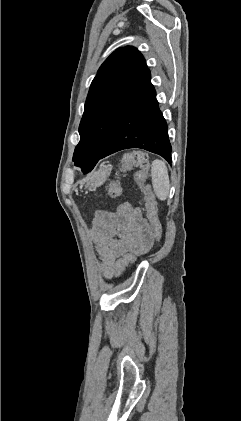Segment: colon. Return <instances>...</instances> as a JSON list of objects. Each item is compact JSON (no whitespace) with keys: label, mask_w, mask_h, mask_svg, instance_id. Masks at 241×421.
<instances>
[{"label":"colon","mask_w":241,"mask_h":421,"mask_svg":"<svg viewBox=\"0 0 241 421\" xmlns=\"http://www.w3.org/2000/svg\"><path fill=\"white\" fill-rule=\"evenodd\" d=\"M132 168H138L135 173V180L142 188L144 193V201L147 217L154 230L156 239H159L162 235V227L158 219L156 202L149 186L145 185L149 169V161L147 155L142 151H133L123 156L121 160L120 172H126ZM121 194V187L118 179L111 180L107 185V195L110 198H117ZM136 257L131 254L122 256L117 261L116 275L121 276L125 269L134 264Z\"/></svg>","instance_id":"obj_1"}]
</instances>
